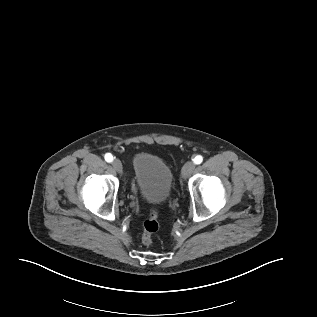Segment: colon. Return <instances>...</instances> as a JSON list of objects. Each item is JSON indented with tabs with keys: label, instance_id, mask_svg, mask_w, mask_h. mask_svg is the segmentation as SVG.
Returning a JSON list of instances; mask_svg holds the SVG:
<instances>
[{
	"label": "colon",
	"instance_id": "5ec220e1",
	"mask_svg": "<svg viewBox=\"0 0 317 317\" xmlns=\"http://www.w3.org/2000/svg\"><path fill=\"white\" fill-rule=\"evenodd\" d=\"M159 228L158 210L154 209L150 213L149 218L143 224L142 240L146 245H150L153 241V235Z\"/></svg>",
	"mask_w": 317,
	"mask_h": 317
}]
</instances>
